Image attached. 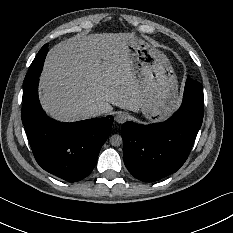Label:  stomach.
Returning a JSON list of instances; mask_svg holds the SVG:
<instances>
[{
    "label": "stomach",
    "mask_w": 233,
    "mask_h": 233,
    "mask_svg": "<svg viewBox=\"0 0 233 233\" xmlns=\"http://www.w3.org/2000/svg\"><path fill=\"white\" fill-rule=\"evenodd\" d=\"M140 93V111L148 121L163 120L178 106L177 77L168 58L139 37L126 43Z\"/></svg>",
    "instance_id": "stomach-1"
}]
</instances>
